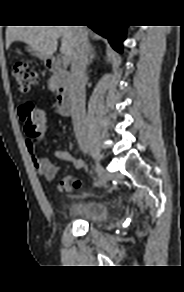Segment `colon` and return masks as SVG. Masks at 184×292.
I'll list each match as a JSON object with an SVG mask.
<instances>
[{
  "label": "colon",
  "mask_w": 184,
  "mask_h": 292,
  "mask_svg": "<svg viewBox=\"0 0 184 292\" xmlns=\"http://www.w3.org/2000/svg\"><path fill=\"white\" fill-rule=\"evenodd\" d=\"M12 73L16 80L17 87L21 92H27L36 84L38 76L35 69L25 61H16L12 64ZM19 116L24 125L26 135L37 143L44 135L46 118L42 110L28 102L20 106ZM70 186L77 189L81 182L69 178Z\"/></svg>",
  "instance_id": "1"
}]
</instances>
